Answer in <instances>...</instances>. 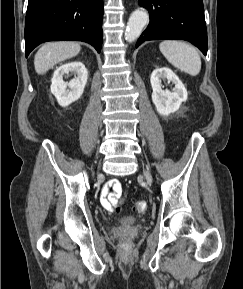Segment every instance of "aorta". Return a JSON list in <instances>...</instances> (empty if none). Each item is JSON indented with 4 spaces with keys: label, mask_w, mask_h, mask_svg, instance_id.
<instances>
[{
    "label": "aorta",
    "mask_w": 243,
    "mask_h": 289,
    "mask_svg": "<svg viewBox=\"0 0 243 289\" xmlns=\"http://www.w3.org/2000/svg\"><path fill=\"white\" fill-rule=\"evenodd\" d=\"M149 21V15L144 10L134 11L127 23V29L125 33V39L128 42L135 41L141 34L143 28L147 25Z\"/></svg>",
    "instance_id": "obj_1"
}]
</instances>
